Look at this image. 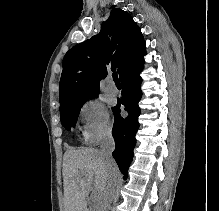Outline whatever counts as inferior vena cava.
I'll return each mask as SVG.
<instances>
[{
  "mask_svg": "<svg viewBox=\"0 0 219 211\" xmlns=\"http://www.w3.org/2000/svg\"><path fill=\"white\" fill-rule=\"evenodd\" d=\"M101 153L104 161L103 171H107V175H111V178L109 179V182L107 184L108 188H112L110 191L113 193L115 190L113 188H119L120 184L122 182V179L124 178V175L122 174V170H118L117 161H114L112 157V151L115 149V141L112 137V135H106V137H103L101 143Z\"/></svg>",
  "mask_w": 219,
  "mask_h": 211,
  "instance_id": "inferior-vena-cava-1",
  "label": "inferior vena cava"
}]
</instances>
